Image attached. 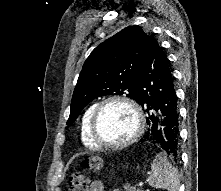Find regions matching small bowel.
I'll return each instance as SVG.
<instances>
[{
    "label": "small bowel",
    "mask_w": 221,
    "mask_h": 191,
    "mask_svg": "<svg viewBox=\"0 0 221 191\" xmlns=\"http://www.w3.org/2000/svg\"><path fill=\"white\" fill-rule=\"evenodd\" d=\"M104 189H105V185L100 180L93 181L89 187V191H104ZM113 191H119V190L115 189Z\"/></svg>",
    "instance_id": "c3829d8e"
}]
</instances>
